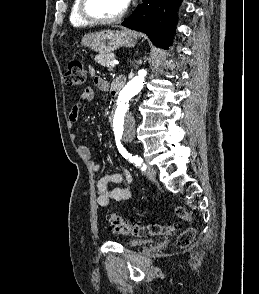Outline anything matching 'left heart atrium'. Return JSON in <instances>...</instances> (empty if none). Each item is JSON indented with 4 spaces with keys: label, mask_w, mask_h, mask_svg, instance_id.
I'll return each mask as SVG.
<instances>
[{
    "label": "left heart atrium",
    "mask_w": 259,
    "mask_h": 294,
    "mask_svg": "<svg viewBox=\"0 0 259 294\" xmlns=\"http://www.w3.org/2000/svg\"><path fill=\"white\" fill-rule=\"evenodd\" d=\"M122 1H123V4H124L125 7H127L129 2H130V0H122Z\"/></svg>",
    "instance_id": "1"
}]
</instances>
